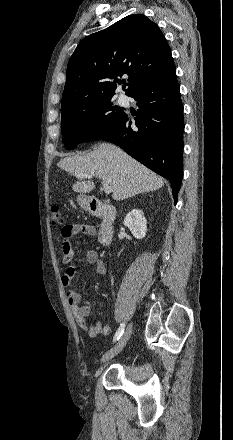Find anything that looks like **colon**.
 Instances as JSON below:
<instances>
[{
	"instance_id": "obj_1",
	"label": "colon",
	"mask_w": 233,
	"mask_h": 440,
	"mask_svg": "<svg viewBox=\"0 0 233 440\" xmlns=\"http://www.w3.org/2000/svg\"><path fill=\"white\" fill-rule=\"evenodd\" d=\"M51 221L55 225H62L64 223V216L59 205L51 206Z\"/></svg>"
}]
</instances>
